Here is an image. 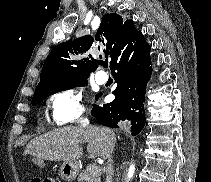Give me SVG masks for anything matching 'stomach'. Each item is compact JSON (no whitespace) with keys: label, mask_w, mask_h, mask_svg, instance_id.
Instances as JSON below:
<instances>
[{"label":"stomach","mask_w":211,"mask_h":182,"mask_svg":"<svg viewBox=\"0 0 211 182\" xmlns=\"http://www.w3.org/2000/svg\"><path fill=\"white\" fill-rule=\"evenodd\" d=\"M79 173V164L77 161L74 162H64L61 165L59 175L66 182H72L76 179Z\"/></svg>","instance_id":"0dacf381"}]
</instances>
